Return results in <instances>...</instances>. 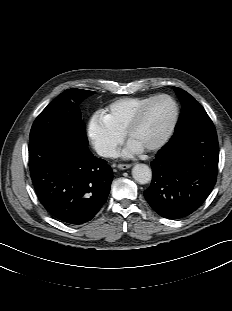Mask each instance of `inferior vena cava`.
I'll return each instance as SVG.
<instances>
[{
    "mask_svg": "<svg viewBox=\"0 0 232 311\" xmlns=\"http://www.w3.org/2000/svg\"><path fill=\"white\" fill-rule=\"evenodd\" d=\"M96 151L98 155L103 156V157H117L118 156L117 151L110 147H98Z\"/></svg>",
    "mask_w": 232,
    "mask_h": 311,
    "instance_id": "obj_1",
    "label": "inferior vena cava"
}]
</instances>
